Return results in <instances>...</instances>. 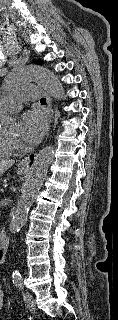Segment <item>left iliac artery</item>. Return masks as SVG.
<instances>
[{"mask_svg":"<svg viewBox=\"0 0 118 320\" xmlns=\"http://www.w3.org/2000/svg\"><path fill=\"white\" fill-rule=\"evenodd\" d=\"M13 283L17 288H19V290L23 289V283L21 279H15L13 280Z\"/></svg>","mask_w":118,"mask_h":320,"instance_id":"44dca946","label":"left iliac artery"}]
</instances>
